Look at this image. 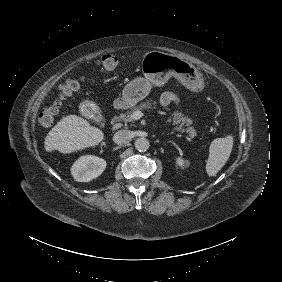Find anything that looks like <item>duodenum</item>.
<instances>
[{"instance_id": "obj_1", "label": "duodenum", "mask_w": 282, "mask_h": 282, "mask_svg": "<svg viewBox=\"0 0 282 282\" xmlns=\"http://www.w3.org/2000/svg\"><path fill=\"white\" fill-rule=\"evenodd\" d=\"M124 107V103L122 101H117L113 104V108L115 110H120Z\"/></svg>"}]
</instances>
